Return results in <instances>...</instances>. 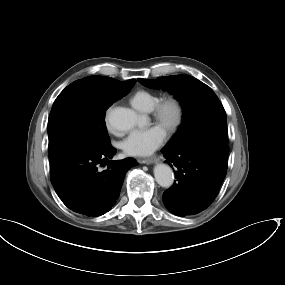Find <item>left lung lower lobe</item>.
<instances>
[{
  "mask_svg": "<svg viewBox=\"0 0 285 285\" xmlns=\"http://www.w3.org/2000/svg\"><path fill=\"white\" fill-rule=\"evenodd\" d=\"M228 145L202 142L179 150L163 148L178 182L163 193L166 208L180 217L206 209L226 176Z\"/></svg>",
  "mask_w": 285,
  "mask_h": 285,
  "instance_id": "left-lung-lower-lobe-1",
  "label": "left lung lower lobe"
}]
</instances>
